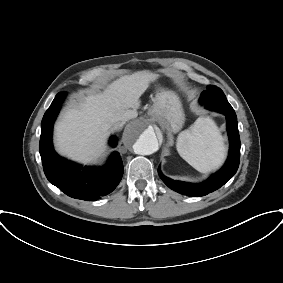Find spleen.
<instances>
[{"instance_id": "1", "label": "spleen", "mask_w": 283, "mask_h": 283, "mask_svg": "<svg viewBox=\"0 0 283 283\" xmlns=\"http://www.w3.org/2000/svg\"><path fill=\"white\" fill-rule=\"evenodd\" d=\"M179 155L202 173L218 168L225 158L223 137L210 117L198 118L189 129L177 138Z\"/></svg>"}]
</instances>
